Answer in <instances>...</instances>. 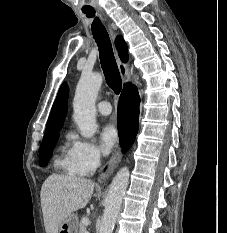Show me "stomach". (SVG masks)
Wrapping results in <instances>:
<instances>
[{
    "instance_id": "1",
    "label": "stomach",
    "mask_w": 227,
    "mask_h": 233,
    "mask_svg": "<svg viewBox=\"0 0 227 233\" xmlns=\"http://www.w3.org/2000/svg\"><path fill=\"white\" fill-rule=\"evenodd\" d=\"M78 227L77 215L71 214L60 225L59 233H77Z\"/></svg>"
}]
</instances>
